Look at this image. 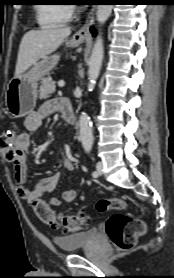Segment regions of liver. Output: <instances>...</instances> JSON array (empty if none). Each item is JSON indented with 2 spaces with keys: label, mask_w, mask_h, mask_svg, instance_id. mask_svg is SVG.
I'll return each mask as SVG.
<instances>
[{
  "label": "liver",
  "mask_w": 174,
  "mask_h": 278,
  "mask_svg": "<svg viewBox=\"0 0 174 278\" xmlns=\"http://www.w3.org/2000/svg\"><path fill=\"white\" fill-rule=\"evenodd\" d=\"M70 34V27L30 30L25 33L19 46L15 76L54 52Z\"/></svg>",
  "instance_id": "obj_1"
}]
</instances>
